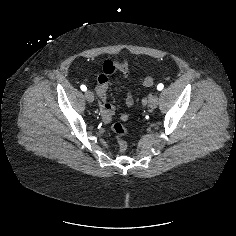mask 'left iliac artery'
Listing matches in <instances>:
<instances>
[{"instance_id":"44dca946","label":"left iliac artery","mask_w":236,"mask_h":236,"mask_svg":"<svg viewBox=\"0 0 236 236\" xmlns=\"http://www.w3.org/2000/svg\"><path fill=\"white\" fill-rule=\"evenodd\" d=\"M164 88V85L163 84H158L157 86V90L161 91L162 89Z\"/></svg>"}]
</instances>
